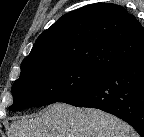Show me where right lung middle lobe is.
I'll use <instances>...</instances> for the list:
<instances>
[{
	"mask_svg": "<svg viewBox=\"0 0 144 137\" xmlns=\"http://www.w3.org/2000/svg\"><path fill=\"white\" fill-rule=\"evenodd\" d=\"M107 72L72 62H53L21 67L12 87L9 110L43 106L69 98Z\"/></svg>",
	"mask_w": 144,
	"mask_h": 137,
	"instance_id": "obj_1",
	"label": "right lung middle lobe"
}]
</instances>
